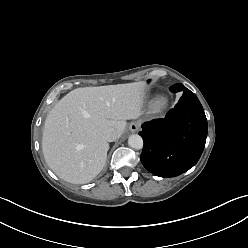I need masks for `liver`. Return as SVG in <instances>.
<instances>
[{
	"instance_id": "1",
	"label": "liver",
	"mask_w": 248,
	"mask_h": 248,
	"mask_svg": "<svg viewBox=\"0 0 248 248\" xmlns=\"http://www.w3.org/2000/svg\"><path fill=\"white\" fill-rule=\"evenodd\" d=\"M144 82L77 88L48 114L42 151L46 163L61 179L84 184L103 169L109 144L101 134L113 128L118 137L127 120L142 115Z\"/></svg>"
}]
</instances>
